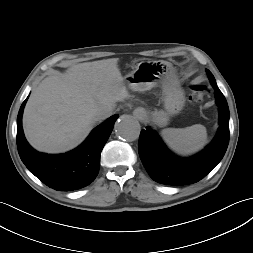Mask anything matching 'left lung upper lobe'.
I'll use <instances>...</instances> for the list:
<instances>
[{
  "mask_svg": "<svg viewBox=\"0 0 253 253\" xmlns=\"http://www.w3.org/2000/svg\"><path fill=\"white\" fill-rule=\"evenodd\" d=\"M207 74H208V77H209V80H210L212 86L217 85L214 76L212 75V73L209 70H207Z\"/></svg>",
  "mask_w": 253,
  "mask_h": 253,
  "instance_id": "5c2ea615",
  "label": "left lung upper lobe"
}]
</instances>
